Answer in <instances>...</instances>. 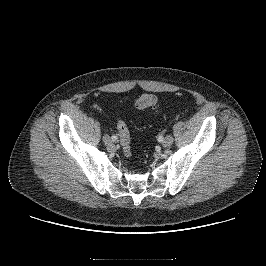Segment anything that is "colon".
<instances>
[{
	"label": "colon",
	"mask_w": 266,
	"mask_h": 266,
	"mask_svg": "<svg viewBox=\"0 0 266 266\" xmlns=\"http://www.w3.org/2000/svg\"><path fill=\"white\" fill-rule=\"evenodd\" d=\"M156 103V97L153 94H142L136 101L135 107L143 110L151 108ZM118 132L120 135V145L125 156H131V139L129 129L124 121H119L117 124Z\"/></svg>",
	"instance_id": "5ec220e1"
}]
</instances>
